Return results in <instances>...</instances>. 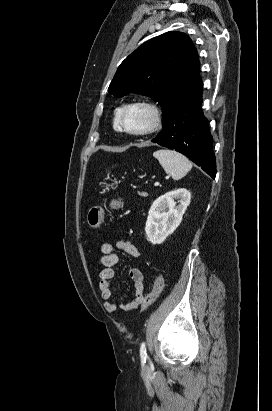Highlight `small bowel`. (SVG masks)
Returning <instances> with one entry per match:
<instances>
[{
	"label": "small bowel",
	"instance_id": "obj_1",
	"mask_svg": "<svg viewBox=\"0 0 272 411\" xmlns=\"http://www.w3.org/2000/svg\"><path fill=\"white\" fill-rule=\"evenodd\" d=\"M121 250L126 254L137 258L139 257L138 249L129 241L117 240L115 242H105L101 246V263L104 266L100 273L99 292L102 299L105 300L104 308L109 313H115L119 308L124 311L135 309L136 301L143 296L144 276L139 268H130L127 273V279L132 287V294L129 301L122 303L112 300V285L111 282L115 277V266L119 262V255L115 250Z\"/></svg>",
	"mask_w": 272,
	"mask_h": 411
}]
</instances>
